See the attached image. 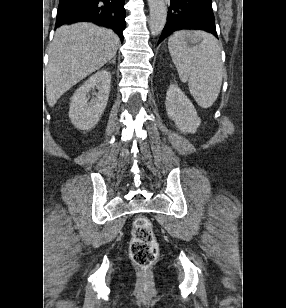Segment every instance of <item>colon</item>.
Wrapping results in <instances>:
<instances>
[{"mask_svg": "<svg viewBox=\"0 0 286 308\" xmlns=\"http://www.w3.org/2000/svg\"><path fill=\"white\" fill-rule=\"evenodd\" d=\"M159 255V245L153 233L152 222L145 216L135 219L130 243L132 261L146 269L154 264Z\"/></svg>", "mask_w": 286, "mask_h": 308, "instance_id": "1", "label": "colon"}]
</instances>
